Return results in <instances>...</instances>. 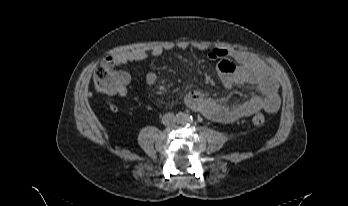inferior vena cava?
Returning a JSON list of instances; mask_svg holds the SVG:
<instances>
[{"label":"inferior vena cava","mask_w":348,"mask_h":206,"mask_svg":"<svg viewBox=\"0 0 348 206\" xmlns=\"http://www.w3.org/2000/svg\"><path fill=\"white\" fill-rule=\"evenodd\" d=\"M162 122L165 125H170L175 122V116L173 113H167L163 116Z\"/></svg>","instance_id":"1"}]
</instances>
